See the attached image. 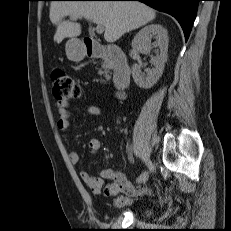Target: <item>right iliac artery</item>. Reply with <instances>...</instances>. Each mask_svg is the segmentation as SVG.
I'll list each match as a JSON object with an SVG mask.
<instances>
[{"label":"right iliac artery","instance_id":"obj_1","mask_svg":"<svg viewBox=\"0 0 231 231\" xmlns=\"http://www.w3.org/2000/svg\"><path fill=\"white\" fill-rule=\"evenodd\" d=\"M144 162L146 163L147 159L143 158ZM148 179V172H144L140 175V177L138 178V183H145Z\"/></svg>","mask_w":231,"mask_h":231}]
</instances>
